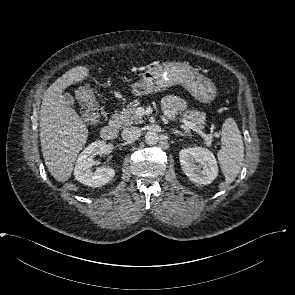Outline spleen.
Masks as SVG:
<instances>
[{"instance_id": "3e777b00", "label": "spleen", "mask_w": 295, "mask_h": 295, "mask_svg": "<svg viewBox=\"0 0 295 295\" xmlns=\"http://www.w3.org/2000/svg\"><path fill=\"white\" fill-rule=\"evenodd\" d=\"M221 144L218 161L225 176V184L228 185L236 179L244 157L242 135L232 118H227L222 125Z\"/></svg>"}]
</instances>
